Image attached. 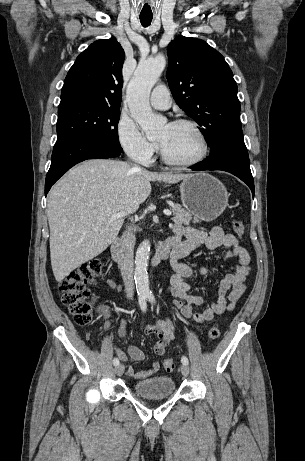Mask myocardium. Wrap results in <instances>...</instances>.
Segmentation results:
<instances>
[{
  "instance_id": "1",
  "label": "myocardium",
  "mask_w": 305,
  "mask_h": 461,
  "mask_svg": "<svg viewBox=\"0 0 305 461\" xmlns=\"http://www.w3.org/2000/svg\"><path fill=\"white\" fill-rule=\"evenodd\" d=\"M169 124L170 125H187V126L191 127L196 132L197 136L200 139L201 151H200L199 155L196 158L192 159V160L179 161V160H175V159L171 158L166 153L163 145L159 142L158 145H159V150H160V155H161L162 160L164 162H166L167 164L172 165V166H176V167H192V166H196L199 163H201L206 158V156L208 154V151H209L208 140H207V137H206L205 133L201 129V127L195 121L190 120V119H186V118L175 119V120L171 121Z\"/></svg>"
}]
</instances>
